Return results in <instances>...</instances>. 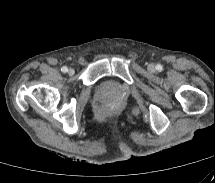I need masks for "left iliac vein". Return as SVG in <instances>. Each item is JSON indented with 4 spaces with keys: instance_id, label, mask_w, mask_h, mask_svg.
Segmentation results:
<instances>
[{
    "instance_id": "4c4485c4",
    "label": "left iliac vein",
    "mask_w": 215,
    "mask_h": 183,
    "mask_svg": "<svg viewBox=\"0 0 215 183\" xmlns=\"http://www.w3.org/2000/svg\"><path fill=\"white\" fill-rule=\"evenodd\" d=\"M148 69L152 72L155 70V66L153 64H149Z\"/></svg>"
}]
</instances>
